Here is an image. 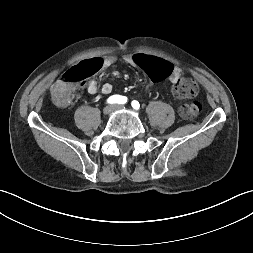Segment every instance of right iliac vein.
<instances>
[{"label": "right iliac vein", "instance_id": "63e3f726", "mask_svg": "<svg viewBox=\"0 0 253 253\" xmlns=\"http://www.w3.org/2000/svg\"><path fill=\"white\" fill-rule=\"evenodd\" d=\"M113 110H114V106L113 105H108L103 109V114L104 115H109Z\"/></svg>", "mask_w": 253, "mask_h": 253}]
</instances>
